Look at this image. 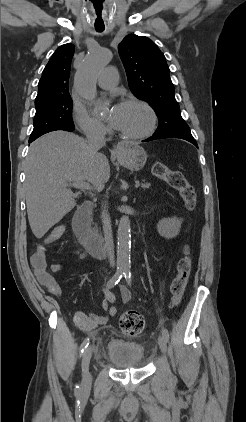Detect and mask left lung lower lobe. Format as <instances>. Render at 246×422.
Listing matches in <instances>:
<instances>
[{"label": "left lung lower lobe", "mask_w": 246, "mask_h": 422, "mask_svg": "<svg viewBox=\"0 0 246 422\" xmlns=\"http://www.w3.org/2000/svg\"><path fill=\"white\" fill-rule=\"evenodd\" d=\"M163 138H180V139H184V140H187V141L191 142L196 147H198L195 139L193 138V136L191 134H163V135H154L153 134V136H151L148 139L144 140V142L151 141V140H156V139H163Z\"/></svg>", "instance_id": "0a47b994"}]
</instances>
